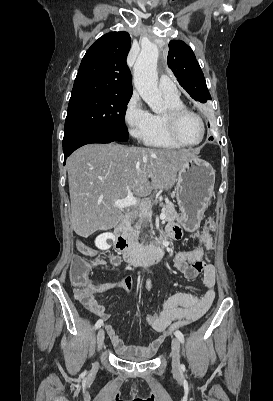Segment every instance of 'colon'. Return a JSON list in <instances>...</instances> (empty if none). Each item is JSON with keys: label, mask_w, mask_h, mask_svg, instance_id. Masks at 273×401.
Segmentation results:
<instances>
[{"label": "colon", "mask_w": 273, "mask_h": 401, "mask_svg": "<svg viewBox=\"0 0 273 401\" xmlns=\"http://www.w3.org/2000/svg\"><path fill=\"white\" fill-rule=\"evenodd\" d=\"M69 274L72 276L69 285L77 297H89L92 293H99L101 287L99 284H93V279L88 278L87 270L92 269V262L87 261L85 257H74L68 264ZM153 288L151 283L145 285V289L150 291Z\"/></svg>", "instance_id": "1"}]
</instances>
